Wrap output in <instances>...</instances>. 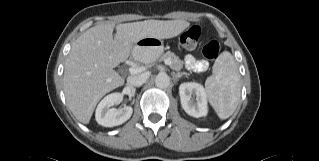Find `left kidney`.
<instances>
[{"label":"left kidney","instance_id":"1","mask_svg":"<svg viewBox=\"0 0 319 161\" xmlns=\"http://www.w3.org/2000/svg\"><path fill=\"white\" fill-rule=\"evenodd\" d=\"M181 105L184 111L195 118L208 113L207 96L201 84L195 82L182 83L179 86ZM194 97H196L194 99Z\"/></svg>","mask_w":319,"mask_h":161}]
</instances>
